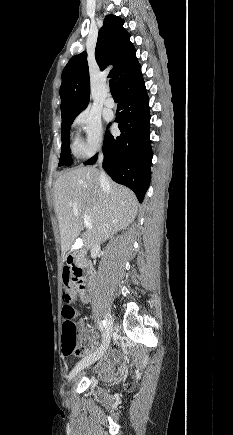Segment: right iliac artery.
I'll return each instance as SVG.
<instances>
[{"label": "right iliac artery", "instance_id": "1", "mask_svg": "<svg viewBox=\"0 0 233 435\" xmlns=\"http://www.w3.org/2000/svg\"><path fill=\"white\" fill-rule=\"evenodd\" d=\"M105 326H106L105 320H101L100 323H99V328L101 329V331L104 330Z\"/></svg>", "mask_w": 233, "mask_h": 435}]
</instances>
